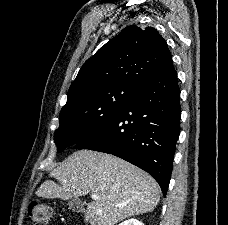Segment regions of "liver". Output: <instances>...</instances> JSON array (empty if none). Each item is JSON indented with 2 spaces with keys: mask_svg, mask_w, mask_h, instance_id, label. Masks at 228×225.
Instances as JSON below:
<instances>
[{
  "mask_svg": "<svg viewBox=\"0 0 228 225\" xmlns=\"http://www.w3.org/2000/svg\"><path fill=\"white\" fill-rule=\"evenodd\" d=\"M35 195L44 199H74L81 195H98L88 203L85 223L116 225L123 219L154 211L160 201L159 185L138 167L97 151H76L65 163L53 169Z\"/></svg>",
  "mask_w": 228,
  "mask_h": 225,
  "instance_id": "liver-1",
  "label": "liver"
}]
</instances>
